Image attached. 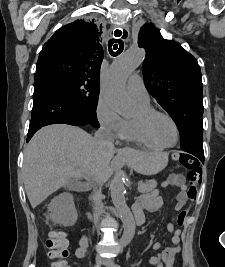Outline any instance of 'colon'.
Here are the masks:
<instances>
[{
  "label": "colon",
  "mask_w": 225,
  "mask_h": 267,
  "mask_svg": "<svg viewBox=\"0 0 225 267\" xmlns=\"http://www.w3.org/2000/svg\"><path fill=\"white\" fill-rule=\"evenodd\" d=\"M172 158L187 170L189 180L187 197L193 202L197 198L199 186L203 180L201 164L193 155L185 152H175ZM187 214L188 209H182L178 213L177 224L179 226H183ZM45 245L48 249V257L53 260L51 267H68L66 263L68 242L63 232L59 230L51 231Z\"/></svg>",
  "instance_id": "colon-1"
}]
</instances>
